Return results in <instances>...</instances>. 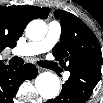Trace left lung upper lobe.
Instances as JSON below:
<instances>
[{"instance_id":"5c2ea615","label":"left lung upper lobe","mask_w":103,"mask_h":103,"mask_svg":"<svg viewBox=\"0 0 103 103\" xmlns=\"http://www.w3.org/2000/svg\"><path fill=\"white\" fill-rule=\"evenodd\" d=\"M55 18L60 20L62 27L60 42L53 48V55L60 65L68 71L81 66H102L101 47L90 28L63 10H56Z\"/></svg>"}]
</instances>
